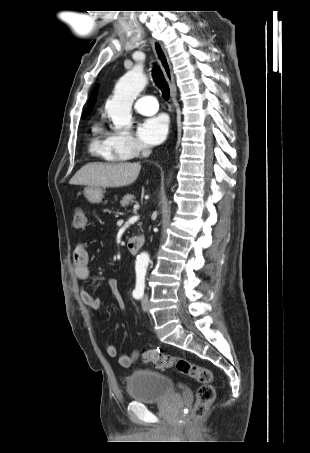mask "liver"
<instances>
[{"mask_svg": "<svg viewBox=\"0 0 310 453\" xmlns=\"http://www.w3.org/2000/svg\"><path fill=\"white\" fill-rule=\"evenodd\" d=\"M141 170L139 163H99L82 166L70 179V185L88 187H123L133 184Z\"/></svg>", "mask_w": 310, "mask_h": 453, "instance_id": "1", "label": "liver"}]
</instances>
